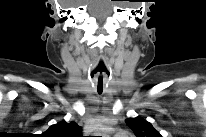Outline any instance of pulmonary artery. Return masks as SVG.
Segmentation results:
<instances>
[{"label":"pulmonary artery","mask_w":206,"mask_h":137,"mask_svg":"<svg viewBox=\"0 0 206 137\" xmlns=\"http://www.w3.org/2000/svg\"><path fill=\"white\" fill-rule=\"evenodd\" d=\"M114 137H128V136L124 132H119Z\"/></svg>","instance_id":"obj_1"}]
</instances>
